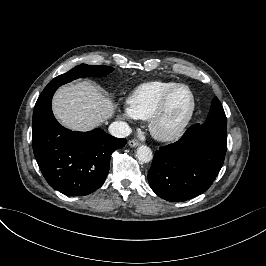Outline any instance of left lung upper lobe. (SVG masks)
Segmentation results:
<instances>
[{"label": "left lung upper lobe", "mask_w": 266, "mask_h": 266, "mask_svg": "<svg viewBox=\"0 0 266 266\" xmlns=\"http://www.w3.org/2000/svg\"><path fill=\"white\" fill-rule=\"evenodd\" d=\"M204 125L227 130V119L221 102L215 97Z\"/></svg>", "instance_id": "5c2ea615"}]
</instances>
